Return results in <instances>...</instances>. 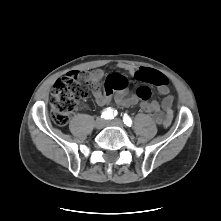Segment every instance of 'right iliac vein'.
<instances>
[{
    "instance_id": "63e3f726",
    "label": "right iliac vein",
    "mask_w": 221,
    "mask_h": 221,
    "mask_svg": "<svg viewBox=\"0 0 221 221\" xmlns=\"http://www.w3.org/2000/svg\"><path fill=\"white\" fill-rule=\"evenodd\" d=\"M95 128L96 129H102L105 127V120L101 117H98L95 121Z\"/></svg>"
}]
</instances>
